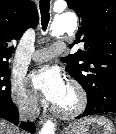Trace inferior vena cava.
I'll return each mask as SVG.
<instances>
[{"label":"inferior vena cava","mask_w":116,"mask_h":134,"mask_svg":"<svg viewBox=\"0 0 116 134\" xmlns=\"http://www.w3.org/2000/svg\"><path fill=\"white\" fill-rule=\"evenodd\" d=\"M39 115L38 100L31 98L27 103L19 108V116L21 120L33 121Z\"/></svg>","instance_id":"obj_1"}]
</instances>
